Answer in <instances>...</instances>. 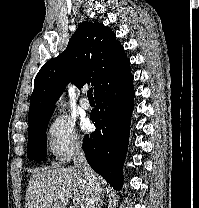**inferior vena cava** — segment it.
I'll list each match as a JSON object with an SVG mask.
<instances>
[{"mask_svg": "<svg viewBox=\"0 0 199 208\" xmlns=\"http://www.w3.org/2000/svg\"><path fill=\"white\" fill-rule=\"evenodd\" d=\"M74 165L84 175L89 184V198L86 200L83 208H100L102 204V191L97 180V175H95L89 166L81 147L76 149Z\"/></svg>", "mask_w": 199, "mask_h": 208, "instance_id": "1", "label": "inferior vena cava"}]
</instances>
